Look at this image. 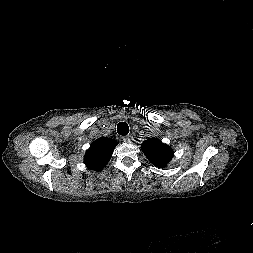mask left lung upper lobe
<instances>
[{
    "mask_svg": "<svg viewBox=\"0 0 253 253\" xmlns=\"http://www.w3.org/2000/svg\"><path fill=\"white\" fill-rule=\"evenodd\" d=\"M141 148L148 160L157 167H165L173 157L172 149L158 138H149Z\"/></svg>",
    "mask_w": 253,
    "mask_h": 253,
    "instance_id": "obj_1",
    "label": "left lung upper lobe"
}]
</instances>
